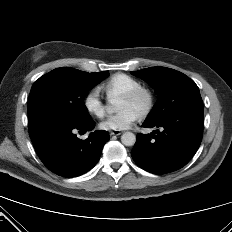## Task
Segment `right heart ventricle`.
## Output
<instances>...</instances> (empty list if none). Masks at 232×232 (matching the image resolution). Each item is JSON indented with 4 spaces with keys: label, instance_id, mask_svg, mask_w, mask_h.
Instances as JSON below:
<instances>
[{
    "label": "right heart ventricle",
    "instance_id": "obj_1",
    "mask_svg": "<svg viewBox=\"0 0 232 232\" xmlns=\"http://www.w3.org/2000/svg\"><path fill=\"white\" fill-rule=\"evenodd\" d=\"M141 86L142 83L137 78L125 73H117L102 84V89L105 91L108 98H113L122 96Z\"/></svg>",
    "mask_w": 232,
    "mask_h": 232
}]
</instances>
